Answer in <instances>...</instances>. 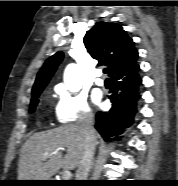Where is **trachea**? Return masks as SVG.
<instances>
[{
    "instance_id": "obj_1",
    "label": "trachea",
    "mask_w": 178,
    "mask_h": 186,
    "mask_svg": "<svg viewBox=\"0 0 178 186\" xmlns=\"http://www.w3.org/2000/svg\"><path fill=\"white\" fill-rule=\"evenodd\" d=\"M107 72H108V69L107 68L103 69V73L104 74H107Z\"/></svg>"
}]
</instances>
